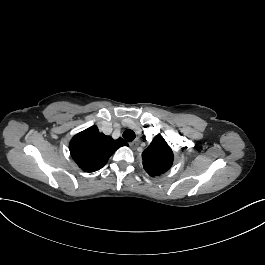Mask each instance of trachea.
<instances>
[{
  "label": "trachea",
  "mask_w": 265,
  "mask_h": 265,
  "mask_svg": "<svg viewBox=\"0 0 265 265\" xmlns=\"http://www.w3.org/2000/svg\"><path fill=\"white\" fill-rule=\"evenodd\" d=\"M123 137L126 141L130 142L135 139V133L132 130H125L123 133Z\"/></svg>",
  "instance_id": "trachea-1"
}]
</instances>
